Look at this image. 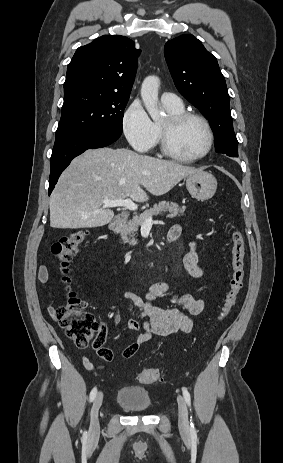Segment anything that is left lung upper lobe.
Masks as SVG:
<instances>
[{"label": "left lung upper lobe", "mask_w": 283, "mask_h": 463, "mask_svg": "<svg viewBox=\"0 0 283 463\" xmlns=\"http://www.w3.org/2000/svg\"><path fill=\"white\" fill-rule=\"evenodd\" d=\"M164 54L178 91L209 120L215 151L238 157L230 97L216 57L191 34L168 41Z\"/></svg>", "instance_id": "obj_1"}]
</instances>
